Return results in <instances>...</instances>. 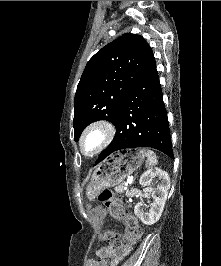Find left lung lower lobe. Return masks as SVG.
I'll list each match as a JSON object with an SVG mask.
<instances>
[{
    "label": "left lung lower lobe",
    "mask_w": 221,
    "mask_h": 266,
    "mask_svg": "<svg viewBox=\"0 0 221 266\" xmlns=\"http://www.w3.org/2000/svg\"><path fill=\"white\" fill-rule=\"evenodd\" d=\"M114 125L115 137L95 164L114 152L136 147H152L173 158L167 111L156 69L131 88Z\"/></svg>",
    "instance_id": "0a47b994"
}]
</instances>
